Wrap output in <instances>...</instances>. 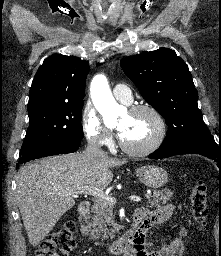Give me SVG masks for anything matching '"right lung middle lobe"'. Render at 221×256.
I'll list each match as a JSON object with an SVG mask.
<instances>
[{"instance_id": "1", "label": "right lung middle lobe", "mask_w": 221, "mask_h": 256, "mask_svg": "<svg viewBox=\"0 0 221 256\" xmlns=\"http://www.w3.org/2000/svg\"><path fill=\"white\" fill-rule=\"evenodd\" d=\"M83 103L46 105L28 110L29 127L20 156L54 140L83 139Z\"/></svg>"}]
</instances>
